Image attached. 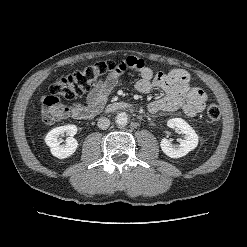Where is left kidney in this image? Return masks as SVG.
<instances>
[{"label": "left kidney", "mask_w": 247, "mask_h": 247, "mask_svg": "<svg viewBox=\"0 0 247 247\" xmlns=\"http://www.w3.org/2000/svg\"><path fill=\"white\" fill-rule=\"evenodd\" d=\"M167 125L168 127L176 128L182 134H185V138L180 139L178 145L171 144L170 140L166 138L161 140L160 147L168 157H183L197 147L198 135L186 121L181 118H172L168 120Z\"/></svg>", "instance_id": "obj_1"}]
</instances>
